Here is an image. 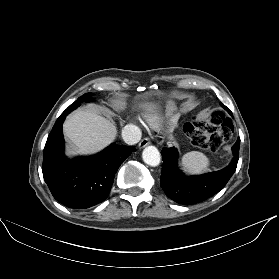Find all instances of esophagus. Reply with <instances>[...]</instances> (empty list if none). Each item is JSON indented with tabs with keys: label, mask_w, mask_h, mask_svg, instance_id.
<instances>
[{
	"label": "esophagus",
	"mask_w": 279,
	"mask_h": 279,
	"mask_svg": "<svg viewBox=\"0 0 279 279\" xmlns=\"http://www.w3.org/2000/svg\"><path fill=\"white\" fill-rule=\"evenodd\" d=\"M151 142H150V139L149 138H144L141 140V142L139 143V148L142 149L144 147H146L147 145H149Z\"/></svg>",
	"instance_id": "obj_1"
}]
</instances>
